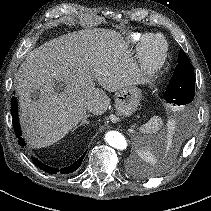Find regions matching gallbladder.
Listing matches in <instances>:
<instances>
[{
	"instance_id": "gallbladder-1",
	"label": "gallbladder",
	"mask_w": 211,
	"mask_h": 211,
	"mask_svg": "<svg viewBox=\"0 0 211 211\" xmlns=\"http://www.w3.org/2000/svg\"><path fill=\"white\" fill-rule=\"evenodd\" d=\"M56 85H61L60 83H56Z\"/></svg>"
}]
</instances>
